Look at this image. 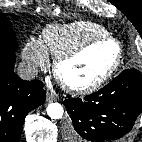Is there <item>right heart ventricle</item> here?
<instances>
[{"label": "right heart ventricle", "instance_id": "1", "mask_svg": "<svg viewBox=\"0 0 142 142\" xmlns=\"http://www.w3.org/2000/svg\"><path fill=\"white\" fill-rule=\"evenodd\" d=\"M109 35L101 25L91 21H78L65 25H48L42 35L45 50L54 58L63 55L86 41Z\"/></svg>", "mask_w": 142, "mask_h": 142}]
</instances>
